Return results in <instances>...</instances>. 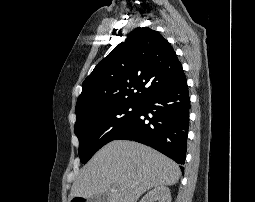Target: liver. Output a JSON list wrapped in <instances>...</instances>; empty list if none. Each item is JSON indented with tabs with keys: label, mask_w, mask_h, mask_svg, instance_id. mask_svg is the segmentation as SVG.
<instances>
[{
	"label": "liver",
	"mask_w": 255,
	"mask_h": 202,
	"mask_svg": "<svg viewBox=\"0 0 255 202\" xmlns=\"http://www.w3.org/2000/svg\"><path fill=\"white\" fill-rule=\"evenodd\" d=\"M180 169L170 158L134 141L115 140L83 167L71 198L107 194L108 202H137L147 190L178 182Z\"/></svg>",
	"instance_id": "6515ba94"
}]
</instances>
